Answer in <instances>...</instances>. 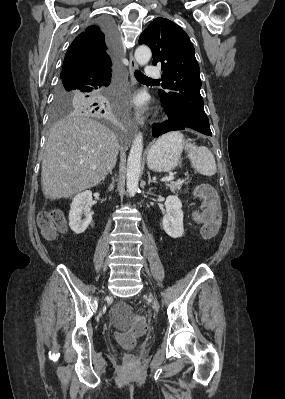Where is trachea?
I'll use <instances>...</instances> for the list:
<instances>
[{"label": "trachea", "mask_w": 285, "mask_h": 399, "mask_svg": "<svg viewBox=\"0 0 285 399\" xmlns=\"http://www.w3.org/2000/svg\"><path fill=\"white\" fill-rule=\"evenodd\" d=\"M136 79L138 81H149V82H158V80H153L151 78L146 77L143 73H141L140 71H135L134 73Z\"/></svg>", "instance_id": "1"}]
</instances>
